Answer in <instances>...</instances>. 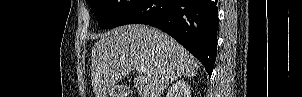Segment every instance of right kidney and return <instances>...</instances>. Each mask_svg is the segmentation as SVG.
Wrapping results in <instances>:
<instances>
[{"label": "right kidney", "mask_w": 302, "mask_h": 97, "mask_svg": "<svg viewBox=\"0 0 302 97\" xmlns=\"http://www.w3.org/2000/svg\"><path fill=\"white\" fill-rule=\"evenodd\" d=\"M181 95L182 97H189L190 96V87L189 85L183 81H177L171 88L169 92V97H175L177 95Z\"/></svg>", "instance_id": "obj_1"}]
</instances>
